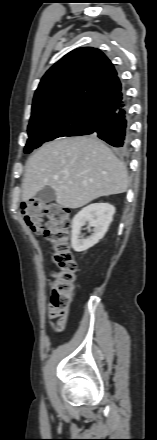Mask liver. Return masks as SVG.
I'll return each instance as SVG.
<instances>
[{
    "mask_svg": "<svg viewBox=\"0 0 157 440\" xmlns=\"http://www.w3.org/2000/svg\"><path fill=\"white\" fill-rule=\"evenodd\" d=\"M45 187L55 190L60 206L75 209L102 196L124 193L127 169L94 136L56 140L28 159L22 197L27 201Z\"/></svg>",
    "mask_w": 157,
    "mask_h": 440,
    "instance_id": "liver-1",
    "label": "liver"
}]
</instances>
